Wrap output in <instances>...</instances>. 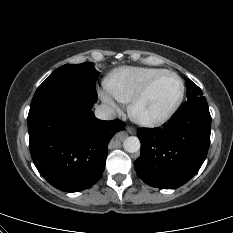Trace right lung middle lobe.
<instances>
[{"mask_svg": "<svg viewBox=\"0 0 233 233\" xmlns=\"http://www.w3.org/2000/svg\"><path fill=\"white\" fill-rule=\"evenodd\" d=\"M98 74L93 62L63 65L56 69L38 87L31 105L57 95L65 94H81L97 97L95 85Z\"/></svg>", "mask_w": 233, "mask_h": 233, "instance_id": "dd1d6c3e", "label": "right lung middle lobe"}]
</instances>
